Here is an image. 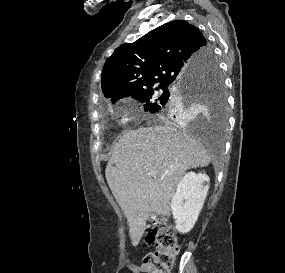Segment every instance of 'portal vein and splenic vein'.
I'll use <instances>...</instances> for the list:
<instances>
[{"mask_svg":"<svg viewBox=\"0 0 285 273\" xmlns=\"http://www.w3.org/2000/svg\"><path fill=\"white\" fill-rule=\"evenodd\" d=\"M149 174H151V175H153V176L155 175V173H154V172H152V173H149Z\"/></svg>","mask_w":285,"mask_h":273,"instance_id":"18ae733b","label":"portal vein and splenic vein"}]
</instances>
